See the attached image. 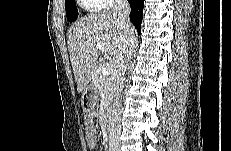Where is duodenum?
I'll use <instances>...</instances> for the list:
<instances>
[{
  "label": "duodenum",
  "mask_w": 231,
  "mask_h": 151,
  "mask_svg": "<svg viewBox=\"0 0 231 151\" xmlns=\"http://www.w3.org/2000/svg\"><path fill=\"white\" fill-rule=\"evenodd\" d=\"M108 118H109V110L106 107L105 110H104L103 119H102V123H103L104 126L106 125V123L108 121Z\"/></svg>",
  "instance_id": "duodenum-1"
}]
</instances>
